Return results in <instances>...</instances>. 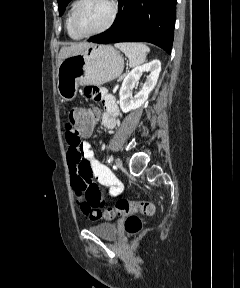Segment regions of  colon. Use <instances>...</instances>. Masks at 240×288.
I'll use <instances>...</instances> for the list:
<instances>
[{
	"label": "colon",
	"instance_id": "1",
	"mask_svg": "<svg viewBox=\"0 0 240 288\" xmlns=\"http://www.w3.org/2000/svg\"><path fill=\"white\" fill-rule=\"evenodd\" d=\"M98 119V111L94 108L76 107L67 116V123L77 133L91 130ZM82 213L91 220L105 218L111 220L117 216L125 218V230L127 233L137 234L142 227L138 213L152 215L155 207L149 201L119 200L115 206L101 210L102 194L93 192L85 198L79 199Z\"/></svg>",
	"mask_w": 240,
	"mask_h": 288
}]
</instances>
